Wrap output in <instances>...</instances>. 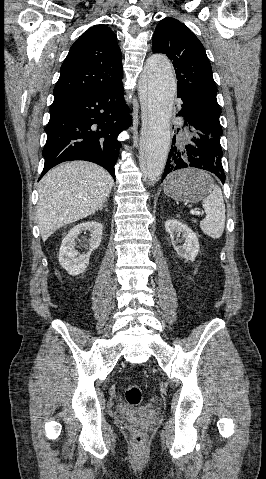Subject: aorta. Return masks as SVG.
Masks as SVG:
<instances>
[{
    "label": "aorta",
    "instance_id": "762f6f07",
    "mask_svg": "<svg viewBox=\"0 0 266 479\" xmlns=\"http://www.w3.org/2000/svg\"><path fill=\"white\" fill-rule=\"evenodd\" d=\"M139 94L145 107V169L155 183L161 176L170 146V120L176 94L173 67L162 55L151 56L139 82Z\"/></svg>",
    "mask_w": 266,
    "mask_h": 479
}]
</instances>
